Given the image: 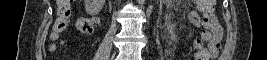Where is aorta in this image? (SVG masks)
Segmentation results:
<instances>
[{"instance_id":"762f6f07","label":"aorta","mask_w":267,"mask_h":60,"mask_svg":"<svg viewBox=\"0 0 267 60\" xmlns=\"http://www.w3.org/2000/svg\"><path fill=\"white\" fill-rule=\"evenodd\" d=\"M139 4L143 5L145 0H138Z\"/></svg>"}]
</instances>
